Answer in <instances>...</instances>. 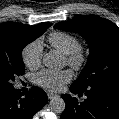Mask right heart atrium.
I'll return each instance as SVG.
<instances>
[{
    "mask_svg": "<svg viewBox=\"0 0 119 119\" xmlns=\"http://www.w3.org/2000/svg\"><path fill=\"white\" fill-rule=\"evenodd\" d=\"M43 45L40 39H35L26 44L21 51V59L29 69H36L41 64Z\"/></svg>",
    "mask_w": 119,
    "mask_h": 119,
    "instance_id": "d8ad5b80",
    "label": "right heart atrium"
}]
</instances>
